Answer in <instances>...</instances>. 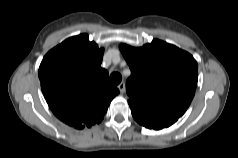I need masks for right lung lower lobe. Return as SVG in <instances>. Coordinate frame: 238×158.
I'll list each match as a JSON object with an SVG mask.
<instances>
[{"label": "right lung lower lobe", "mask_w": 238, "mask_h": 158, "mask_svg": "<svg viewBox=\"0 0 238 158\" xmlns=\"http://www.w3.org/2000/svg\"><path fill=\"white\" fill-rule=\"evenodd\" d=\"M95 124V123H94ZM93 124H87V125H85V126H87V127H91ZM84 126H76L75 128H77V129H82Z\"/></svg>", "instance_id": "obj_1"}]
</instances>
